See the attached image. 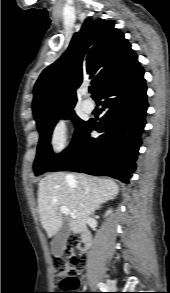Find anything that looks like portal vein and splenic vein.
Masks as SVG:
<instances>
[{"instance_id":"18ae733b","label":"portal vein and splenic vein","mask_w":170,"mask_h":293,"mask_svg":"<svg viewBox=\"0 0 170 293\" xmlns=\"http://www.w3.org/2000/svg\"><path fill=\"white\" fill-rule=\"evenodd\" d=\"M60 210H61V212L63 213V214H65V215H69V216H71L72 218H75L76 217V215L74 214V213H72L67 207H65V206H61L60 207Z\"/></svg>"}]
</instances>
